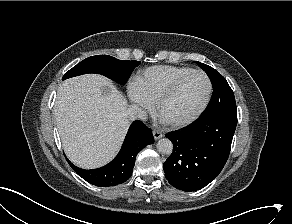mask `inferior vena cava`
Returning <instances> with one entry per match:
<instances>
[{
	"label": "inferior vena cava",
	"instance_id": "inferior-vena-cava-1",
	"mask_svg": "<svg viewBox=\"0 0 292 224\" xmlns=\"http://www.w3.org/2000/svg\"><path fill=\"white\" fill-rule=\"evenodd\" d=\"M127 116L131 120H145L146 112L136 104H132L127 110Z\"/></svg>",
	"mask_w": 292,
	"mask_h": 224
}]
</instances>
